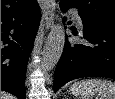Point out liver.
Listing matches in <instances>:
<instances>
[{"mask_svg":"<svg viewBox=\"0 0 115 99\" xmlns=\"http://www.w3.org/2000/svg\"><path fill=\"white\" fill-rule=\"evenodd\" d=\"M1 99H13V96L1 91Z\"/></svg>","mask_w":115,"mask_h":99,"instance_id":"liver-1","label":"liver"}]
</instances>
